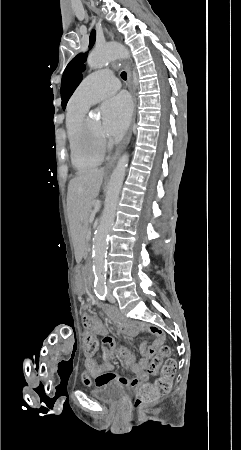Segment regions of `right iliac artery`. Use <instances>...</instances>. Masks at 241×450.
Returning <instances> with one entry per match:
<instances>
[{
    "label": "right iliac artery",
    "mask_w": 241,
    "mask_h": 450,
    "mask_svg": "<svg viewBox=\"0 0 241 450\" xmlns=\"http://www.w3.org/2000/svg\"><path fill=\"white\" fill-rule=\"evenodd\" d=\"M96 296L101 299V300H105L106 296H107V287L106 286H100L97 290H96Z\"/></svg>",
    "instance_id": "82829eb1"
}]
</instances>
